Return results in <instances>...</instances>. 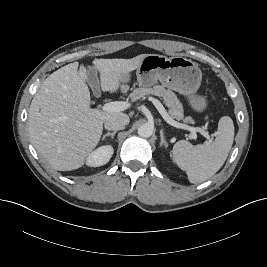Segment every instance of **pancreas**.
Instances as JSON below:
<instances>
[{
  "label": "pancreas",
  "instance_id": "cf45deb5",
  "mask_svg": "<svg viewBox=\"0 0 267 267\" xmlns=\"http://www.w3.org/2000/svg\"><path fill=\"white\" fill-rule=\"evenodd\" d=\"M155 95L161 97L165 104L169 107V114L172 119L178 121L183 120L185 123H194L191 117L184 118L183 106L175 93L169 89H165L161 85H155L153 88H136L131 94L130 99L137 101L141 98H145L147 95Z\"/></svg>",
  "mask_w": 267,
  "mask_h": 267
}]
</instances>
